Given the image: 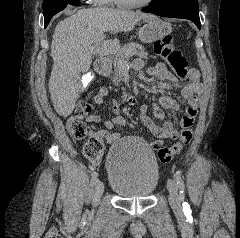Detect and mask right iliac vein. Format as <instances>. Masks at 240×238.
I'll list each match as a JSON object with an SVG mask.
<instances>
[{
  "label": "right iliac vein",
  "mask_w": 240,
  "mask_h": 238,
  "mask_svg": "<svg viewBox=\"0 0 240 238\" xmlns=\"http://www.w3.org/2000/svg\"><path fill=\"white\" fill-rule=\"evenodd\" d=\"M103 192H104V184L103 182L98 180L95 184L94 205L98 204Z\"/></svg>",
  "instance_id": "1"
}]
</instances>
